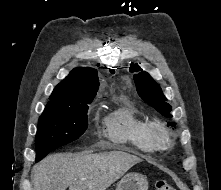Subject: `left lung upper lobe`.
Masks as SVG:
<instances>
[{
	"label": "left lung upper lobe",
	"mask_w": 221,
	"mask_h": 190,
	"mask_svg": "<svg viewBox=\"0 0 221 190\" xmlns=\"http://www.w3.org/2000/svg\"><path fill=\"white\" fill-rule=\"evenodd\" d=\"M137 93L150 106L155 108L165 117H172L170 112L172 107L167 103L160 86L153 80L147 72H141L134 76ZM172 125L173 123H168Z\"/></svg>",
	"instance_id": "obj_1"
}]
</instances>
